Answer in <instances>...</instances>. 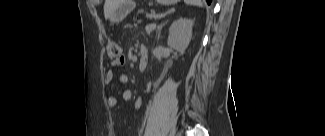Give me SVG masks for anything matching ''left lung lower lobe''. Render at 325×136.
I'll return each mask as SVG.
<instances>
[{
  "label": "left lung lower lobe",
  "instance_id": "obj_1",
  "mask_svg": "<svg viewBox=\"0 0 325 136\" xmlns=\"http://www.w3.org/2000/svg\"><path fill=\"white\" fill-rule=\"evenodd\" d=\"M206 1H207L208 4H210L212 0H206Z\"/></svg>",
  "mask_w": 325,
  "mask_h": 136
}]
</instances>
